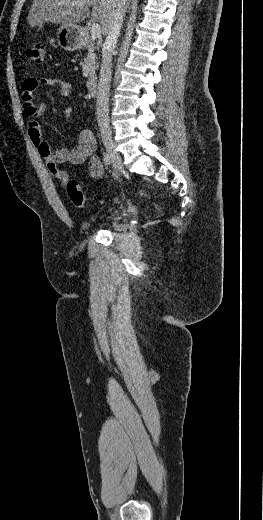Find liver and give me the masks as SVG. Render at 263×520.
Returning a JSON list of instances; mask_svg holds the SVG:
<instances>
[{
    "label": "liver",
    "mask_w": 263,
    "mask_h": 520,
    "mask_svg": "<svg viewBox=\"0 0 263 520\" xmlns=\"http://www.w3.org/2000/svg\"><path fill=\"white\" fill-rule=\"evenodd\" d=\"M74 2H81L83 6H72L71 3ZM90 7L91 20L100 23L101 32L107 34L115 11L114 0H34L28 14V23L31 27L44 22L77 24L89 15Z\"/></svg>",
    "instance_id": "1"
}]
</instances>
